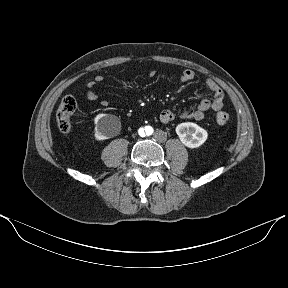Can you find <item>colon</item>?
Here are the masks:
<instances>
[{
    "label": "colon",
    "mask_w": 288,
    "mask_h": 288,
    "mask_svg": "<svg viewBox=\"0 0 288 288\" xmlns=\"http://www.w3.org/2000/svg\"><path fill=\"white\" fill-rule=\"evenodd\" d=\"M77 101L73 96L64 97L57 108L56 121L59 130L67 134L72 129V116L76 110ZM230 121V115L227 112L219 111L216 114V122L221 125H227Z\"/></svg>",
    "instance_id": "5ec220e1"
}]
</instances>
